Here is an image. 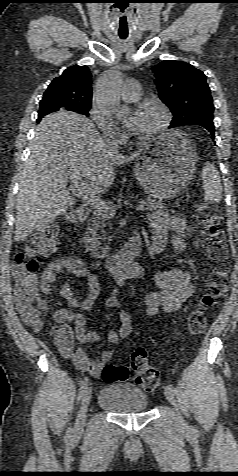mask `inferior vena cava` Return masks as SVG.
<instances>
[{
	"mask_svg": "<svg viewBox=\"0 0 238 476\" xmlns=\"http://www.w3.org/2000/svg\"><path fill=\"white\" fill-rule=\"evenodd\" d=\"M106 143H107V145H108V147H109V149H110L111 151L117 152V150H118V144H117L115 138H113L112 136L108 137V138L106 139Z\"/></svg>",
	"mask_w": 238,
	"mask_h": 476,
	"instance_id": "obj_1",
	"label": "inferior vena cava"
}]
</instances>
